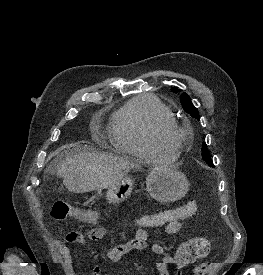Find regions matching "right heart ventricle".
Wrapping results in <instances>:
<instances>
[{
	"instance_id": "obj_1",
	"label": "right heart ventricle",
	"mask_w": 263,
	"mask_h": 275,
	"mask_svg": "<svg viewBox=\"0 0 263 275\" xmlns=\"http://www.w3.org/2000/svg\"><path fill=\"white\" fill-rule=\"evenodd\" d=\"M175 120L172 111L155 95L132 98L112 117L110 140L122 153L144 159H173L176 152L158 147L152 130L160 122Z\"/></svg>"
}]
</instances>
